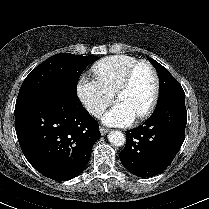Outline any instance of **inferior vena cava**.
<instances>
[{
	"label": "inferior vena cava",
	"instance_id": "1",
	"mask_svg": "<svg viewBox=\"0 0 209 209\" xmlns=\"http://www.w3.org/2000/svg\"><path fill=\"white\" fill-rule=\"evenodd\" d=\"M87 110L92 115L99 117L103 114L105 107L103 105L90 104V105H88Z\"/></svg>",
	"mask_w": 209,
	"mask_h": 209
}]
</instances>
